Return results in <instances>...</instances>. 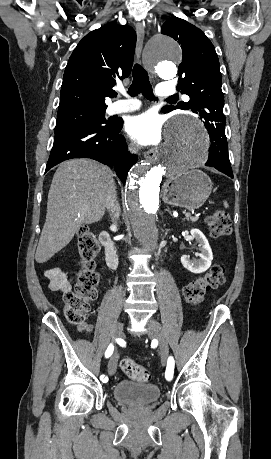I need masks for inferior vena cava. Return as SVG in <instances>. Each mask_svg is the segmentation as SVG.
<instances>
[{
  "label": "inferior vena cava",
  "instance_id": "inferior-vena-cava-1",
  "mask_svg": "<svg viewBox=\"0 0 271 459\" xmlns=\"http://www.w3.org/2000/svg\"><path fill=\"white\" fill-rule=\"evenodd\" d=\"M109 196H108V200L106 202V208L107 210H109L110 212V216H112V220L113 222H115V220H117L119 214H120V206L117 202V198H116V192L115 190H110V192H108Z\"/></svg>",
  "mask_w": 271,
  "mask_h": 459
}]
</instances>
